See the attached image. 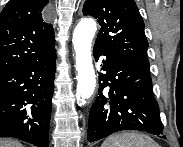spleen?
<instances>
[{
    "label": "spleen",
    "instance_id": "1",
    "mask_svg": "<svg viewBox=\"0 0 183 147\" xmlns=\"http://www.w3.org/2000/svg\"><path fill=\"white\" fill-rule=\"evenodd\" d=\"M102 147H159V145L145 134L123 132L109 136Z\"/></svg>",
    "mask_w": 183,
    "mask_h": 147
}]
</instances>
